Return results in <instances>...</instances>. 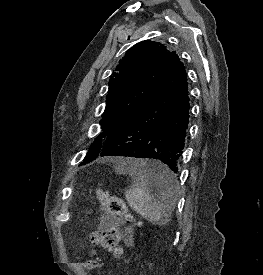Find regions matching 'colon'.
I'll return each mask as SVG.
<instances>
[{
	"label": "colon",
	"instance_id": "colon-1",
	"mask_svg": "<svg viewBox=\"0 0 263 275\" xmlns=\"http://www.w3.org/2000/svg\"><path fill=\"white\" fill-rule=\"evenodd\" d=\"M96 196L102 208L113 220L124 222H132L134 220L133 215L128 211L124 201L118 196L111 195L101 188L96 190ZM91 240L110 251L114 257L118 258L123 254V249L120 246L119 233L112 226H106L94 232ZM83 265L87 269L99 268L103 265V260L101 258H94L87 260Z\"/></svg>",
	"mask_w": 263,
	"mask_h": 275
}]
</instances>
